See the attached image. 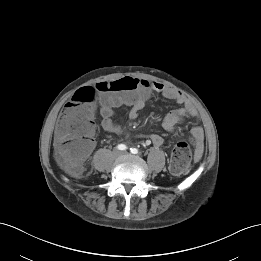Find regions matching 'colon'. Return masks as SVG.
<instances>
[{"label": "colon", "mask_w": 261, "mask_h": 261, "mask_svg": "<svg viewBox=\"0 0 261 261\" xmlns=\"http://www.w3.org/2000/svg\"><path fill=\"white\" fill-rule=\"evenodd\" d=\"M152 83L132 77H124L113 82H99L94 87H82L72 96L76 105L83 109L71 111L65 117L63 129L68 133L61 142L58 160L59 163L72 175H79L82 171V162L89 150L91 139L87 133V122L92 113L91 107L99 94L110 99L124 97L133 99L138 91L147 90ZM192 162V150L186 141H180L174 147L170 158V169L175 174L186 172Z\"/></svg>", "instance_id": "colon-1"}]
</instances>
